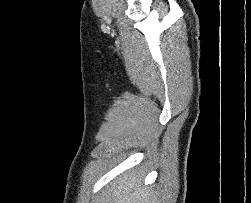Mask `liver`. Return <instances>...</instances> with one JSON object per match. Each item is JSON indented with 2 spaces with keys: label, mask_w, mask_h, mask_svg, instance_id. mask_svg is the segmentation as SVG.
<instances>
[{
  "label": "liver",
  "mask_w": 251,
  "mask_h": 203,
  "mask_svg": "<svg viewBox=\"0 0 251 203\" xmlns=\"http://www.w3.org/2000/svg\"><path fill=\"white\" fill-rule=\"evenodd\" d=\"M143 176L135 172L124 174L114 182L111 192L108 194V203H149L151 190L142 187Z\"/></svg>",
  "instance_id": "6515ba94"
}]
</instances>
